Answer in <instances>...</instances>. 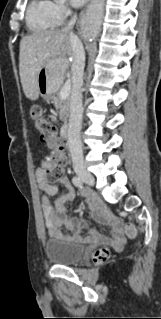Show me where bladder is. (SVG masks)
<instances>
[{
  "label": "bladder",
  "instance_id": "31cf9c89",
  "mask_svg": "<svg viewBox=\"0 0 161 319\" xmlns=\"http://www.w3.org/2000/svg\"><path fill=\"white\" fill-rule=\"evenodd\" d=\"M47 260L54 265H73L85 255V246L70 238H48L43 246Z\"/></svg>",
  "mask_w": 161,
  "mask_h": 319
}]
</instances>
